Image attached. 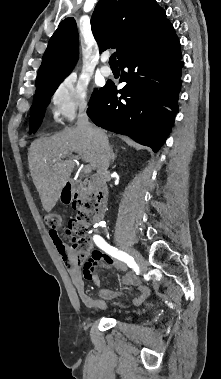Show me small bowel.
<instances>
[{"label":"small bowel","instance_id":"c3829d8e","mask_svg":"<svg viewBox=\"0 0 221 379\" xmlns=\"http://www.w3.org/2000/svg\"><path fill=\"white\" fill-rule=\"evenodd\" d=\"M51 239L61 255L71 278V281L77 291L80 300L84 305L94 311L103 310L106 308V302L113 300L121 296L122 292H116L109 289H104L101 287L99 279V269L100 268H115L121 272H124L122 278V283L124 285H137L140 289V296L133 300L134 305H139L148 295L149 289L145 286L139 285L138 280L135 275L128 272V267L122 261L115 259V257L105 254L100 250H93L91 253L87 254L85 258V263L81 269L76 260L75 253L66 245L64 239L58 234H50ZM85 282H94V284L99 288V298L92 297L85 289Z\"/></svg>","mask_w":221,"mask_h":379}]
</instances>
